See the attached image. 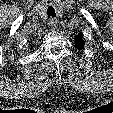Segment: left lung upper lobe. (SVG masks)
<instances>
[{
    "label": "left lung upper lobe",
    "instance_id": "obj_1",
    "mask_svg": "<svg viewBox=\"0 0 113 113\" xmlns=\"http://www.w3.org/2000/svg\"><path fill=\"white\" fill-rule=\"evenodd\" d=\"M75 43H76V47L79 50H82L84 48V40H83V36L81 33H79L76 37H75Z\"/></svg>",
    "mask_w": 113,
    "mask_h": 113
}]
</instances>
